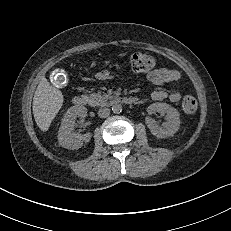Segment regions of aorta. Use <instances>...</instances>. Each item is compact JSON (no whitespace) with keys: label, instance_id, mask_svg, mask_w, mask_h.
Masks as SVG:
<instances>
[{"label":"aorta","instance_id":"1","mask_svg":"<svg viewBox=\"0 0 231 231\" xmlns=\"http://www.w3.org/2000/svg\"><path fill=\"white\" fill-rule=\"evenodd\" d=\"M112 111L113 113H121L122 112V105L118 102L113 103L112 105Z\"/></svg>","mask_w":231,"mask_h":231}]
</instances>
